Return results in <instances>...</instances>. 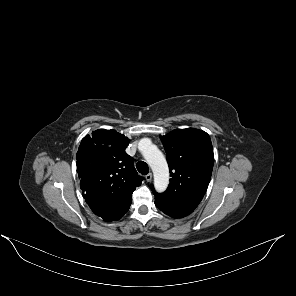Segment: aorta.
Listing matches in <instances>:
<instances>
[{
  "label": "aorta",
  "mask_w": 296,
  "mask_h": 296,
  "mask_svg": "<svg viewBox=\"0 0 296 296\" xmlns=\"http://www.w3.org/2000/svg\"><path fill=\"white\" fill-rule=\"evenodd\" d=\"M138 147L153 171L155 190L164 192L169 184V169L163 153L149 139L140 140Z\"/></svg>",
  "instance_id": "762f6f07"
}]
</instances>
